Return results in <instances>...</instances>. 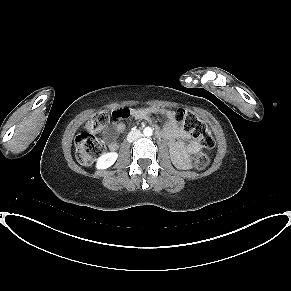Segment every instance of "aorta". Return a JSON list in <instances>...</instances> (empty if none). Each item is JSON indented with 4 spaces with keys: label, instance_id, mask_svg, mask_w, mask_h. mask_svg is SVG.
Returning <instances> with one entry per match:
<instances>
[{
    "label": "aorta",
    "instance_id": "aorta-1",
    "mask_svg": "<svg viewBox=\"0 0 291 291\" xmlns=\"http://www.w3.org/2000/svg\"><path fill=\"white\" fill-rule=\"evenodd\" d=\"M143 133L145 136H151L153 134L152 128L151 127L144 128Z\"/></svg>",
    "mask_w": 291,
    "mask_h": 291
}]
</instances>
